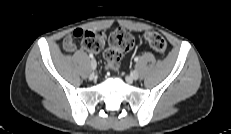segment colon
Returning a JSON list of instances; mask_svg holds the SVG:
<instances>
[{"mask_svg": "<svg viewBox=\"0 0 231 134\" xmlns=\"http://www.w3.org/2000/svg\"><path fill=\"white\" fill-rule=\"evenodd\" d=\"M72 36L74 40L81 39L83 46L93 52H99L105 45V35L96 30L76 29ZM147 44L156 52L164 53L167 43L164 37L154 31L144 34ZM134 40L132 35L123 28H116L109 36V47L105 51V59L110 68H116L124 52L133 47Z\"/></svg>", "mask_w": 231, "mask_h": 134, "instance_id": "colon-1", "label": "colon"}]
</instances>
